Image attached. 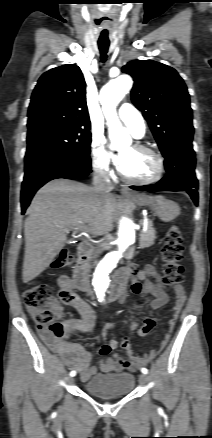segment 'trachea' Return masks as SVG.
<instances>
[{
	"mask_svg": "<svg viewBox=\"0 0 212 438\" xmlns=\"http://www.w3.org/2000/svg\"><path fill=\"white\" fill-rule=\"evenodd\" d=\"M98 47H99L100 54H101V61L104 63L107 60V52H108V48H109V43L99 42Z\"/></svg>",
	"mask_w": 212,
	"mask_h": 438,
	"instance_id": "3493384b",
	"label": "trachea"
}]
</instances>
